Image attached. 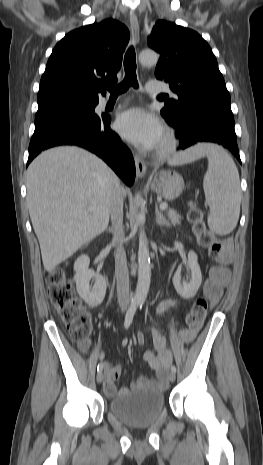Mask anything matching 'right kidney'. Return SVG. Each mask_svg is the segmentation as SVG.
Listing matches in <instances>:
<instances>
[{
	"label": "right kidney",
	"instance_id": "right-kidney-1",
	"mask_svg": "<svg viewBox=\"0 0 263 465\" xmlns=\"http://www.w3.org/2000/svg\"><path fill=\"white\" fill-rule=\"evenodd\" d=\"M89 264L90 258L87 255L79 256L74 263V271L76 272L74 279L80 297L90 307H97L105 297L106 280L94 270L89 269ZM91 279L95 280L93 287L89 284Z\"/></svg>",
	"mask_w": 263,
	"mask_h": 465
}]
</instances>
